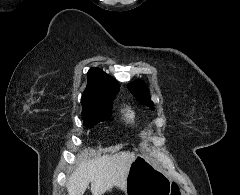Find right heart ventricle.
I'll list each match as a JSON object with an SVG mask.
<instances>
[{"mask_svg":"<svg viewBox=\"0 0 240 195\" xmlns=\"http://www.w3.org/2000/svg\"><path fill=\"white\" fill-rule=\"evenodd\" d=\"M126 115H127L128 118H133L134 117V113L131 109L127 110Z\"/></svg>","mask_w":240,"mask_h":195,"instance_id":"e07e8e85","label":"right heart ventricle"}]
</instances>
